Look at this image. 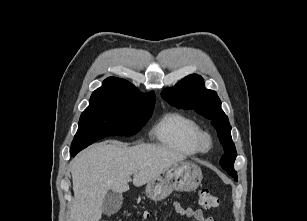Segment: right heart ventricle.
I'll list each match as a JSON object with an SVG mask.
<instances>
[{
	"instance_id": "right-heart-ventricle-1",
	"label": "right heart ventricle",
	"mask_w": 307,
	"mask_h": 221,
	"mask_svg": "<svg viewBox=\"0 0 307 221\" xmlns=\"http://www.w3.org/2000/svg\"><path fill=\"white\" fill-rule=\"evenodd\" d=\"M200 131V126L195 120L184 114L172 112L154 126L152 133L164 147L190 156L199 152L196 138Z\"/></svg>"
}]
</instances>
